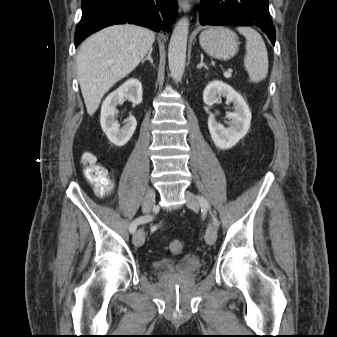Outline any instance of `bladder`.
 Returning a JSON list of instances; mask_svg holds the SVG:
<instances>
[{
    "label": "bladder",
    "instance_id": "31cf9c89",
    "mask_svg": "<svg viewBox=\"0 0 337 337\" xmlns=\"http://www.w3.org/2000/svg\"><path fill=\"white\" fill-rule=\"evenodd\" d=\"M173 266V262L168 259L157 260L153 263V268L158 272H166Z\"/></svg>",
    "mask_w": 337,
    "mask_h": 337
}]
</instances>
